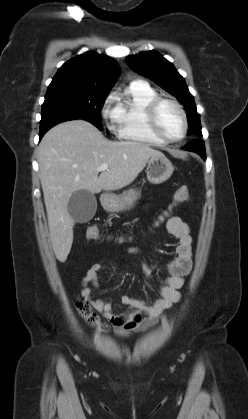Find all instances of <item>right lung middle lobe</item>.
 <instances>
[{
	"label": "right lung middle lobe",
	"mask_w": 248,
	"mask_h": 419,
	"mask_svg": "<svg viewBox=\"0 0 248 419\" xmlns=\"http://www.w3.org/2000/svg\"><path fill=\"white\" fill-rule=\"evenodd\" d=\"M107 93H95L78 89H48L42 105L41 121L61 117H75L87 120L102 130L100 110Z\"/></svg>",
	"instance_id": "right-lung-middle-lobe-1"
}]
</instances>
